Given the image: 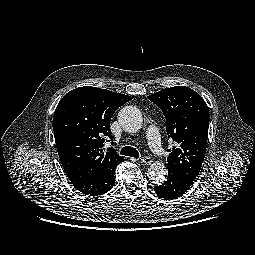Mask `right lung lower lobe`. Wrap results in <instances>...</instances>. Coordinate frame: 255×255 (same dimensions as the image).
<instances>
[{
	"instance_id": "right-lung-lower-lobe-1",
	"label": "right lung lower lobe",
	"mask_w": 255,
	"mask_h": 255,
	"mask_svg": "<svg viewBox=\"0 0 255 255\" xmlns=\"http://www.w3.org/2000/svg\"><path fill=\"white\" fill-rule=\"evenodd\" d=\"M114 170L107 174L87 178H69L73 186L85 195L97 196L112 189L115 183Z\"/></svg>"
}]
</instances>
